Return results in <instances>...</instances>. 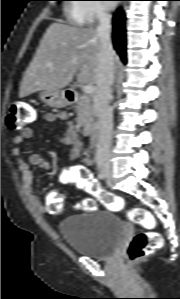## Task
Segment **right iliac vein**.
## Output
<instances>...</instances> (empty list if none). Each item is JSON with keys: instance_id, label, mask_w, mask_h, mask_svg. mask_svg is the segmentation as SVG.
Wrapping results in <instances>:
<instances>
[{"instance_id": "63e3f726", "label": "right iliac vein", "mask_w": 180, "mask_h": 299, "mask_svg": "<svg viewBox=\"0 0 180 299\" xmlns=\"http://www.w3.org/2000/svg\"><path fill=\"white\" fill-rule=\"evenodd\" d=\"M100 171L107 177L111 178L112 168L106 158H101L98 163Z\"/></svg>"}]
</instances>
